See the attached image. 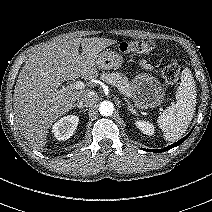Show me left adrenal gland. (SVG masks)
<instances>
[{
  "instance_id": "left-adrenal-gland-1",
  "label": "left adrenal gland",
  "mask_w": 212,
  "mask_h": 212,
  "mask_svg": "<svg viewBox=\"0 0 212 212\" xmlns=\"http://www.w3.org/2000/svg\"><path fill=\"white\" fill-rule=\"evenodd\" d=\"M128 107L130 108V111L134 112L133 109L131 108L129 102H128Z\"/></svg>"
}]
</instances>
